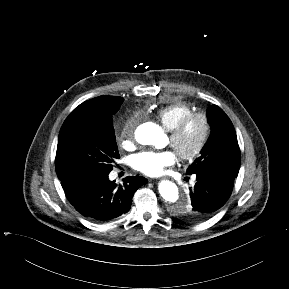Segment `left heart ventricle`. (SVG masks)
Listing matches in <instances>:
<instances>
[{"mask_svg":"<svg viewBox=\"0 0 289 289\" xmlns=\"http://www.w3.org/2000/svg\"><path fill=\"white\" fill-rule=\"evenodd\" d=\"M203 127L200 119L192 120L184 129L180 138L175 144L174 149L180 152H189L195 148L198 144L201 135H202ZM170 144H171V140Z\"/></svg>","mask_w":289,"mask_h":289,"instance_id":"b2bd125f","label":"left heart ventricle"}]
</instances>
